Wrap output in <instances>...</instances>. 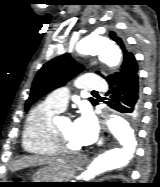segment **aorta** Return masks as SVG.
Segmentation results:
<instances>
[{
  "instance_id": "762f6f07",
  "label": "aorta",
  "mask_w": 160,
  "mask_h": 187,
  "mask_svg": "<svg viewBox=\"0 0 160 187\" xmlns=\"http://www.w3.org/2000/svg\"><path fill=\"white\" fill-rule=\"evenodd\" d=\"M77 51L83 55H97L110 67L117 66L121 59L119 48L108 37L99 34L81 39L77 44ZM107 126L119 145L100 154L82 174L83 180H90L109 170L123 168L133 157L137 145L136 134L127 120L113 115L108 119Z\"/></svg>"
}]
</instances>
